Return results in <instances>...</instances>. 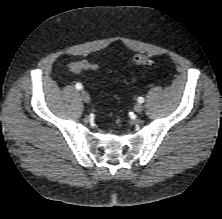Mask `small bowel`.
I'll return each mask as SVG.
<instances>
[{
    "label": "small bowel",
    "mask_w": 222,
    "mask_h": 219,
    "mask_svg": "<svg viewBox=\"0 0 222 219\" xmlns=\"http://www.w3.org/2000/svg\"><path fill=\"white\" fill-rule=\"evenodd\" d=\"M96 68L97 65L86 60L74 61L69 64L70 71L74 73H79L86 70H95Z\"/></svg>",
    "instance_id": "1"
}]
</instances>
